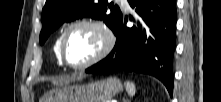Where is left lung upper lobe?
<instances>
[{
	"mask_svg": "<svg viewBox=\"0 0 221 102\" xmlns=\"http://www.w3.org/2000/svg\"><path fill=\"white\" fill-rule=\"evenodd\" d=\"M85 16L103 20L114 33L122 20L119 7H113L108 0H47L42 11L40 44L64 22Z\"/></svg>",
	"mask_w": 221,
	"mask_h": 102,
	"instance_id": "left-lung-upper-lobe-1",
	"label": "left lung upper lobe"
}]
</instances>
